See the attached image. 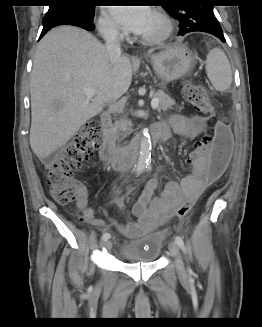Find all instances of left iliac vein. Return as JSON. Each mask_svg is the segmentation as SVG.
<instances>
[{
    "mask_svg": "<svg viewBox=\"0 0 262 327\" xmlns=\"http://www.w3.org/2000/svg\"><path fill=\"white\" fill-rule=\"evenodd\" d=\"M169 251L171 253V255L174 257L175 262H176V267H177V271L180 277H185L186 276V271H185V267L183 264V261L181 259L180 253H179V248L176 242L171 241L169 243Z\"/></svg>",
    "mask_w": 262,
    "mask_h": 327,
    "instance_id": "obj_1",
    "label": "left iliac vein"
}]
</instances>
